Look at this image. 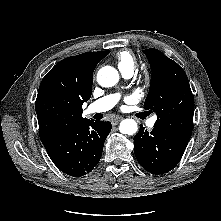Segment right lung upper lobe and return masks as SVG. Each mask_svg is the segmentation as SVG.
Wrapping results in <instances>:
<instances>
[{
    "label": "right lung upper lobe",
    "mask_w": 221,
    "mask_h": 221,
    "mask_svg": "<svg viewBox=\"0 0 221 221\" xmlns=\"http://www.w3.org/2000/svg\"><path fill=\"white\" fill-rule=\"evenodd\" d=\"M108 53L65 58L45 75L35 102L43 144L87 120L82 117V105L91 97L94 69Z\"/></svg>",
    "instance_id": "obj_1"
}]
</instances>
